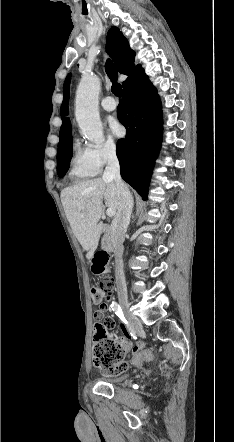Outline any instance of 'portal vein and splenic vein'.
<instances>
[{
  "instance_id": "18ae733b",
  "label": "portal vein and splenic vein",
  "mask_w": 234,
  "mask_h": 442,
  "mask_svg": "<svg viewBox=\"0 0 234 442\" xmlns=\"http://www.w3.org/2000/svg\"><path fill=\"white\" fill-rule=\"evenodd\" d=\"M115 210L114 209H112V208H108L107 210H106V214H107V216H109V217H113L114 215H115Z\"/></svg>"
}]
</instances>
